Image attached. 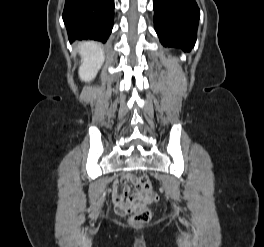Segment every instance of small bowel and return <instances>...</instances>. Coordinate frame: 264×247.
<instances>
[{"mask_svg":"<svg viewBox=\"0 0 264 247\" xmlns=\"http://www.w3.org/2000/svg\"><path fill=\"white\" fill-rule=\"evenodd\" d=\"M129 181V176L128 175H125L122 177L121 179V184L125 185L122 192L119 191V186L120 184L118 182H115L113 185H112V196H113V201L115 203V205L118 207L119 205V202L123 199L126 198L127 194L129 193V187L126 186V184L128 183Z\"/></svg>","mask_w":264,"mask_h":247,"instance_id":"obj_1","label":"small bowel"}]
</instances>
